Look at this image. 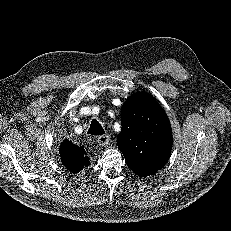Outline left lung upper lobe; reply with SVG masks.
<instances>
[{
    "label": "left lung upper lobe",
    "mask_w": 231,
    "mask_h": 231,
    "mask_svg": "<svg viewBox=\"0 0 231 231\" xmlns=\"http://www.w3.org/2000/svg\"><path fill=\"white\" fill-rule=\"evenodd\" d=\"M117 144L128 167L147 177L167 163L172 147L169 120L153 96L137 93L122 106Z\"/></svg>",
    "instance_id": "1"
}]
</instances>
